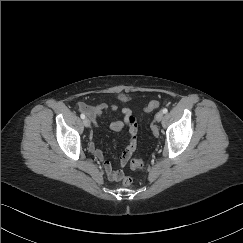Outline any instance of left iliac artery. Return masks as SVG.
Instances as JSON below:
<instances>
[{"label": "left iliac artery", "instance_id": "44dca946", "mask_svg": "<svg viewBox=\"0 0 243 243\" xmlns=\"http://www.w3.org/2000/svg\"><path fill=\"white\" fill-rule=\"evenodd\" d=\"M162 112H163L164 114H166V113L168 112V109H167V108H163V109H162Z\"/></svg>", "mask_w": 243, "mask_h": 243}]
</instances>
